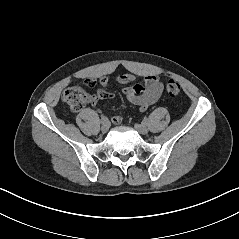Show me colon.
Wrapping results in <instances>:
<instances>
[{
    "label": "colon",
    "mask_w": 239,
    "mask_h": 239,
    "mask_svg": "<svg viewBox=\"0 0 239 239\" xmlns=\"http://www.w3.org/2000/svg\"><path fill=\"white\" fill-rule=\"evenodd\" d=\"M94 85V82L91 81L87 86L93 87ZM166 90L172 97H178L181 91L180 85L174 80L167 82ZM62 99L72 111H78L89 101V95L81 86H73L64 91Z\"/></svg>",
    "instance_id": "5ec220e1"
}]
</instances>
